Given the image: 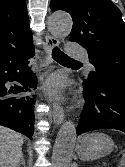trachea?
Returning <instances> with one entry per match:
<instances>
[{"mask_svg": "<svg viewBox=\"0 0 125 167\" xmlns=\"http://www.w3.org/2000/svg\"><path fill=\"white\" fill-rule=\"evenodd\" d=\"M52 57L59 62H76L78 61L68 57L65 53H63L59 48L55 47L52 51Z\"/></svg>", "mask_w": 125, "mask_h": 167, "instance_id": "trachea-1", "label": "trachea"}]
</instances>
